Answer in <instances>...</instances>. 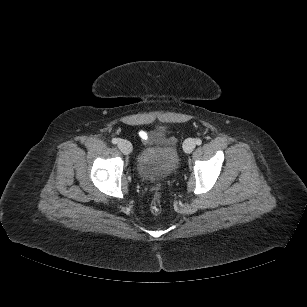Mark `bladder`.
I'll list each match as a JSON object with an SVG mask.
<instances>
[{
	"mask_svg": "<svg viewBox=\"0 0 307 307\" xmlns=\"http://www.w3.org/2000/svg\"><path fill=\"white\" fill-rule=\"evenodd\" d=\"M178 164V152L174 145L148 147L137 156L136 173L143 180L157 181L171 177Z\"/></svg>",
	"mask_w": 307,
	"mask_h": 307,
	"instance_id": "bladder-1",
	"label": "bladder"
}]
</instances>
